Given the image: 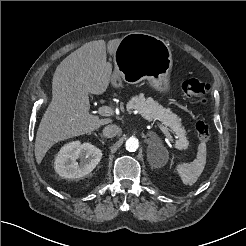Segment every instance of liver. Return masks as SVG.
Returning <instances> with one entry per match:
<instances>
[{"label": "liver", "mask_w": 246, "mask_h": 246, "mask_svg": "<svg viewBox=\"0 0 246 246\" xmlns=\"http://www.w3.org/2000/svg\"><path fill=\"white\" fill-rule=\"evenodd\" d=\"M121 39L91 41L68 55L52 79V101L45 111L35 140V158L40 164L47 151L60 141L91 133L112 119L89 112V94H103L112 78L107 51L114 52Z\"/></svg>", "instance_id": "obj_1"}]
</instances>
